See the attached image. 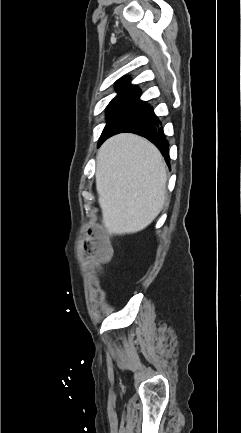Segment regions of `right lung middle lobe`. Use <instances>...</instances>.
Returning <instances> with one entry per match:
<instances>
[{
    "instance_id": "1",
    "label": "right lung middle lobe",
    "mask_w": 241,
    "mask_h": 433,
    "mask_svg": "<svg viewBox=\"0 0 241 433\" xmlns=\"http://www.w3.org/2000/svg\"><path fill=\"white\" fill-rule=\"evenodd\" d=\"M149 105L136 97L114 98L106 108L107 124L101 134L99 144L108 136L123 131L139 116H141Z\"/></svg>"
}]
</instances>
